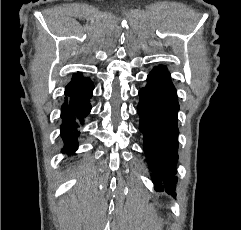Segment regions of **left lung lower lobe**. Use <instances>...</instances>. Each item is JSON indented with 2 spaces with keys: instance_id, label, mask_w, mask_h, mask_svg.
I'll return each mask as SVG.
<instances>
[{
  "instance_id": "0a47b994",
  "label": "left lung lower lobe",
  "mask_w": 241,
  "mask_h": 230,
  "mask_svg": "<svg viewBox=\"0 0 241 230\" xmlns=\"http://www.w3.org/2000/svg\"><path fill=\"white\" fill-rule=\"evenodd\" d=\"M139 130L144 134V152L156 191L175 194L178 159L177 92L165 66L155 67L147 85L139 91Z\"/></svg>"
}]
</instances>
